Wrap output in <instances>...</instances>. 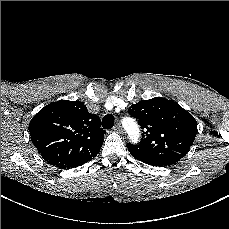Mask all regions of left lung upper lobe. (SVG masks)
<instances>
[{"label":"left lung upper lobe","mask_w":229,"mask_h":229,"mask_svg":"<svg viewBox=\"0 0 229 229\" xmlns=\"http://www.w3.org/2000/svg\"><path fill=\"white\" fill-rule=\"evenodd\" d=\"M128 112L143 129L140 143L127 144L137 160L154 165L175 164L194 142L197 122L178 103L155 97L132 104Z\"/></svg>","instance_id":"obj_1"}]
</instances>
